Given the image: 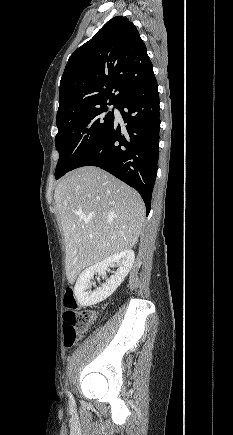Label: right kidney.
<instances>
[{
    "label": "right kidney",
    "instance_id": "right-kidney-1",
    "mask_svg": "<svg viewBox=\"0 0 233 435\" xmlns=\"http://www.w3.org/2000/svg\"><path fill=\"white\" fill-rule=\"evenodd\" d=\"M135 260V254L133 250H124L117 254H114L102 262L96 263L93 266L85 269L78 277L75 287L74 295L77 302L81 306H92L95 305L106 298H108L124 281V278L128 275L129 271ZM116 265L118 267L117 271L109 278L106 282L94 291H89L91 287V279H93L94 274L98 273L105 276L106 270L110 267Z\"/></svg>",
    "mask_w": 233,
    "mask_h": 435
}]
</instances>
